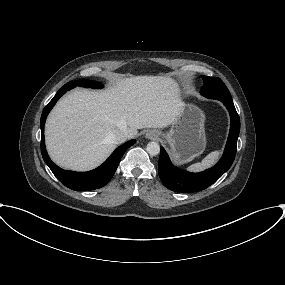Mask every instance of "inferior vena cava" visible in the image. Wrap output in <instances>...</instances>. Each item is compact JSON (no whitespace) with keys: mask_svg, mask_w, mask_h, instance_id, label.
<instances>
[{"mask_svg":"<svg viewBox=\"0 0 285 285\" xmlns=\"http://www.w3.org/2000/svg\"><path fill=\"white\" fill-rule=\"evenodd\" d=\"M129 138V133L126 129H120L115 131L111 135V140L116 144H121Z\"/></svg>","mask_w":285,"mask_h":285,"instance_id":"602c4592","label":"inferior vena cava"}]
</instances>
